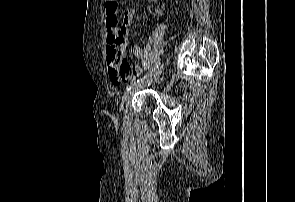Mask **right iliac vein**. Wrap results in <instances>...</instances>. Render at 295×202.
<instances>
[{"label":"right iliac vein","mask_w":295,"mask_h":202,"mask_svg":"<svg viewBox=\"0 0 295 202\" xmlns=\"http://www.w3.org/2000/svg\"><path fill=\"white\" fill-rule=\"evenodd\" d=\"M162 69H163V65L151 76L147 79L146 83L148 85H150L151 83H153L154 81H156L158 79V77L160 76L161 72H162ZM144 85V83H140L139 86H142ZM134 89H130V90H127L124 95L122 96V99H121V102H120V110L123 108V105L125 103V101L129 98V96L133 93Z\"/></svg>","instance_id":"63e3f726"}]
</instances>
